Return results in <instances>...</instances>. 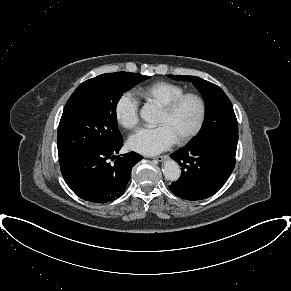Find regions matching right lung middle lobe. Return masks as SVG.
I'll list each match as a JSON object with an SVG mask.
<instances>
[{
	"label": "right lung middle lobe",
	"mask_w": 291,
	"mask_h": 291,
	"mask_svg": "<svg viewBox=\"0 0 291 291\" xmlns=\"http://www.w3.org/2000/svg\"><path fill=\"white\" fill-rule=\"evenodd\" d=\"M149 76L130 72L99 75L80 84L68 99L59 123V163L86 150L110 146L122 139L116 106L125 91Z\"/></svg>",
	"instance_id": "right-lung-middle-lobe-1"
}]
</instances>
